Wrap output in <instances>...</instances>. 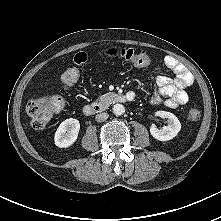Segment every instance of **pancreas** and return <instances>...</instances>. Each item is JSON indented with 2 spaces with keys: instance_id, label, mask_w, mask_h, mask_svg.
Here are the masks:
<instances>
[{
  "instance_id": "1",
  "label": "pancreas",
  "mask_w": 221,
  "mask_h": 221,
  "mask_svg": "<svg viewBox=\"0 0 221 221\" xmlns=\"http://www.w3.org/2000/svg\"><path fill=\"white\" fill-rule=\"evenodd\" d=\"M114 96H115V95L110 92V93L101 95V96L98 98L97 101L100 102V103H103V104H107V103H109V102L113 99Z\"/></svg>"
}]
</instances>
